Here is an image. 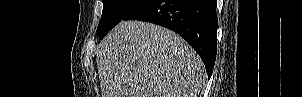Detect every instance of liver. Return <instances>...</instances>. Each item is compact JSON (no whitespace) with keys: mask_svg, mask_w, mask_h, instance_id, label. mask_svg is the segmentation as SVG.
Returning <instances> with one entry per match:
<instances>
[{"mask_svg":"<svg viewBox=\"0 0 302 97\" xmlns=\"http://www.w3.org/2000/svg\"><path fill=\"white\" fill-rule=\"evenodd\" d=\"M102 97H197L205 82L201 58L177 33L123 21L100 44Z\"/></svg>","mask_w":302,"mask_h":97,"instance_id":"6515ba94","label":"liver"}]
</instances>
